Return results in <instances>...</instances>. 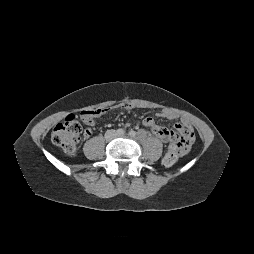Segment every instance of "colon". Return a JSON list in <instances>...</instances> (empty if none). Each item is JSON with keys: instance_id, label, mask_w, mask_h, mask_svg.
Returning <instances> with one entry per match:
<instances>
[{"instance_id": "obj_1", "label": "colon", "mask_w": 254, "mask_h": 254, "mask_svg": "<svg viewBox=\"0 0 254 254\" xmlns=\"http://www.w3.org/2000/svg\"><path fill=\"white\" fill-rule=\"evenodd\" d=\"M100 110L88 111L86 114L94 115ZM90 129L84 130L74 115L67 117L63 122L57 124L52 131V142L60 147L67 155L72 156L76 153L78 145L83 136H87ZM181 154L176 144L170 146L169 151L164 157V164L174 165Z\"/></svg>"}]
</instances>
